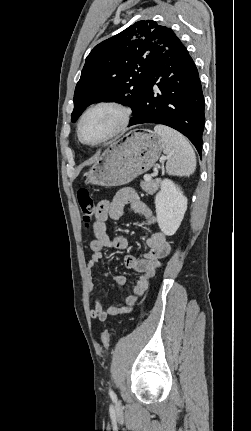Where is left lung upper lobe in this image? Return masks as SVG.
I'll list each match as a JSON object with an SVG mask.
<instances>
[{
    "mask_svg": "<svg viewBox=\"0 0 251 431\" xmlns=\"http://www.w3.org/2000/svg\"><path fill=\"white\" fill-rule=\"evenodd\" d=\"M174 32L155 21H138L96 45L86 58L74 93L75 122L92 103L118 102L134 112L140 103L157 49Z\"/></svg>",
    "mask_w": 251,
    "mask_h": 431,
    "instance_id": "left-lung-upper-lobe-1",
    "label": "left lung upper lobe"
}]
</instances>
